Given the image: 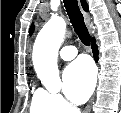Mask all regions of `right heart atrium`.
Instances as JSON below:
<instances>
[{
	"label": "right heart atrium",
	"mask_w": 121,
	"mask_h": 113,
	"mask_svg": "<svg viewBox=\"0 0 121 113\" xmlns=\"http://www.w3.org/2000/svg\"><path fill=\"white\" fill-rule=\"evenodd\" d=\"M50 99L56 112H62L69 108L67 102L59 94H50Z\"/></svg>",
	"instance_id": "1"
}]
</instances>
